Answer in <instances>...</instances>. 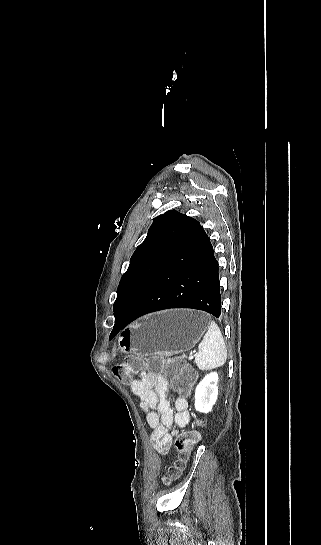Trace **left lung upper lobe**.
Returning <instances> with one entry per match:
<instances>
[{
	"instance_id": "5c2ea615",
	"label": "left lung upper lobe",
	"mask_w": 321,
	"mask_h": 545,
	"mask_svg": "<svg viewBox=\"0 0 321 545\" xmlns=\"http://www.w3.org/2000/svg\"><path fill=\"white\" fill-rule=\"evenodd\" d=\"M190 217L170 210L154 219L146 239L133 253L117 288L114 316L127 315L161 269Z\"/></svg>"
}]
</instances>
